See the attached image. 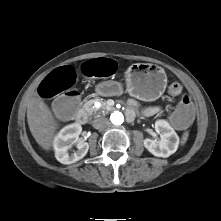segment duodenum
I'll list each match as a JSON object with an SVG mask.
<instances>
[{
    "mask_svg": "<svg viewBox=\"0 0 221 221\" xmlns=\"http://www.w3.org/2000/svg\"><path fill=\"white\" fill-rule=\"evenodd\" d=\"M76 121L80 124H85L87 122V114L84 110H79L77 112Z\"/></svg>",
    "mask_w": 221,
    "mask_h": 221,
    "instance_id": "obj_1",
    "label": "duodenum"
}]
</instances>
